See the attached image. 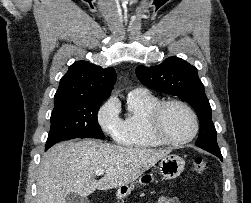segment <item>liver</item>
<instances>
[{"mask_svg": "<svg viewBox=\"0 0 251 203\" xmlns=\"http://www.w3.org/2000/svg\"><path fill=\"white\" fill-rule=\"evenodd\" d=\"M170 152L127 148L90 139L58 143L42 157L37 203H65L69 193L87 197L95 190L128 185ZM97 170L105 171L99 181L94 178Z\"/></svg>", "mask_w": 251, "mask_h": 203, "instance_id": "1", "label": "liver"}]
</instances>
